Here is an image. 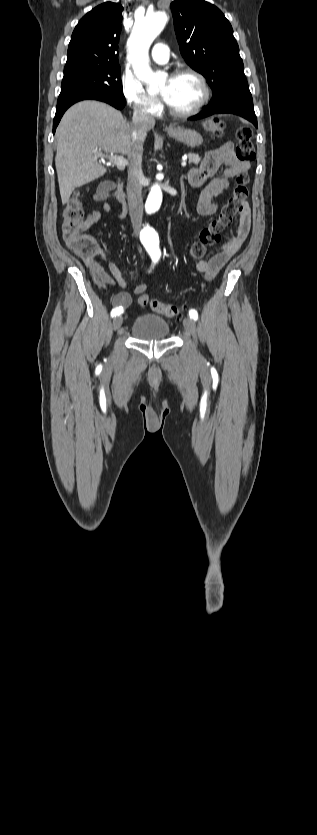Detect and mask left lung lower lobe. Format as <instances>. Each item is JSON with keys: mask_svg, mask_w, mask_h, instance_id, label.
I'll list each match as a JSON object with an SVG mask.
<instances>
[{"mask_svg": "<svg viewBox=\"0 0 317 835\" xmlns=\"http://www.w3.org/2000/svg\"><path fill=\"white\" fill-rule=\"evenodd\" d=\"M232 113L250 121L257 128V118L254 112L253 101L245 99H231L219 106L208 105L199 114L192 116L189 120H197L213 114Z\"/></svg>", "mask_w": 317, "mask_h": 835, "instance_id": "0a47b994", "label": "left lung lower lobe"}]
</instances>
